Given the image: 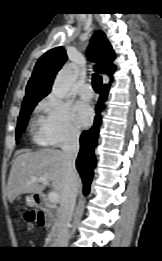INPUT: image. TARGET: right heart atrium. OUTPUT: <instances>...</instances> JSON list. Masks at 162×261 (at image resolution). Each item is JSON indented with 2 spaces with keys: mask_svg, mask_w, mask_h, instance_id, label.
Wrapping results in <instances>:
<instances>
[{
  "mask_svg": "<svg viewBox=\"0 0 162 261\" xmlns=\"http://www.w3.org/2000/svg\"><path fill=\"white\" fill-rule=\"evenodd\" d=\"M38 134L36 140L41 144L64 145L75 142L80 130L76 125L71 107L54 95H48L40 104Z\"/></svg>",
  "mask_w": 162,
  "mask_h": 261,
  "instance_id": "d8ad5b80",
  "label": "right heart atrium"
}]
</instances>
